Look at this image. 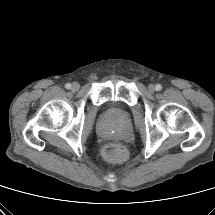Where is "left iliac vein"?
<instances>
[{
	"label": "left iliac vein",
	"mask_w": 215,
	"mask_h": 215,
	"mask_svg": "<svg viewBox=\"0 0 215 215\" xmlns=\"http://www.w3.org/2000/svg\"><path fill=\"white\" fill-rule=\"evenodd\" d=\"M148 90H149V92L153 93L155 91V86L153 84H150L148 86Z\"/></svg>",
	"instance_id": "4c4485c4"
}]
</instances>
